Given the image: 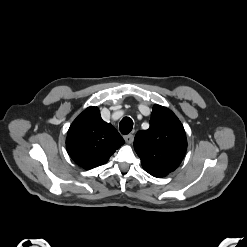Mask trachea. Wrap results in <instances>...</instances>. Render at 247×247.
<instances>
[{
    "instance_id": "trachea-1",
    "label": "trachea",
    "mask_w": 247,
    "mask_h": 247,
    "mask_svg": "<svg viewBox=\"0 0 247 247\" xmlns=\"http://www.w3.org/2000/svg\"><path fill=\"white\" fill-rule=\"evenodd\" d=\"M133 128V121L129 117H124L120 124H119V129L122 134H128Z\"/></svg>"
}]
</instances>
